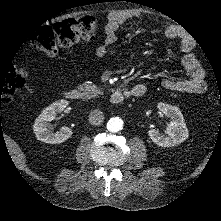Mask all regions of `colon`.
<instances>
[{
  "label": "colon",
  "instance_id": "1",
  "mask_svg": "<svg viewBox=\"0 0 221 221\" xmlns=\"http://www.w3.org/2000/svg\"><path fill=\"white\" fill-rule=\"evenodd\" d=\"M98 16L86 15L81 18L66 19L44 25L32 36V43L47 56L54 57L57 53L80 40H93L99 27ZM25 83L23 69L10 71L0 79V95L6 101L20 92Z\"/></svg>",
  "mask_w": 221,
  "mask_h": 221
}]
</instances>
